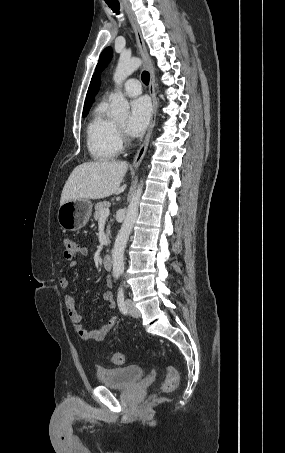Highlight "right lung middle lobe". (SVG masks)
I'll return each instance as SVG.
<instances>
[{"label":"right lung middle lobe","instance_id":"1","mask_svg":"<svg viewBox=\"0 0 285 453\" xmlns=\"http://www.w3.org/2000/svg\"><path fill=\"white\" fill-rule=\"evenodd\" d=\"M87 114H88V111L83 112V117L87 116Z\"/></svg>","mask_w":285,"mask_h":453}]
</instances>
